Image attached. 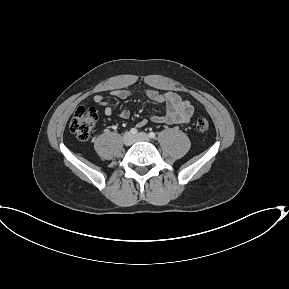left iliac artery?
Returning <instances> with one entry per match:
<instances>
[{
	"mask_svg": "<svg viewBox=\"0 0 289 289\" xmlns=\"http://www.w3.org/2000/svg\"><path fill=\"white\" fill-rule=\"evenodd\" d=\"M149 137L152 138V139H154V138L156 137V134H155L154 132H150V133H149Z\"/></svg>",
	"mask_w": 289,
	"mask_h": 289,
	"instance_id": "44dca946",
	"label": "left iliac artery"
}]
</instances>
